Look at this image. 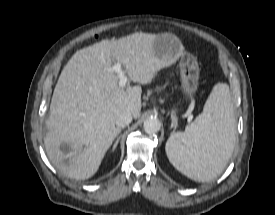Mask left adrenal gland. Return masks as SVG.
Returning <instances> with one entry per match:
<instances>
[{"instance_id": "obj_1", "label": "left adrenal gland", "mask_w": 275, "mask_h": 215, "mask_svg": "<svg viewBox=\"0 0 275 215\" xmlns=\"http://www.w3.org/2000/svg\"><path fill=\"white\" fill-rule=\"evenodd\" d=\"M171 120H172L171 128H174V130H175L178 125V119H177L176 115L173 113L171 114Z\"/></svg>"}]
</instances>
